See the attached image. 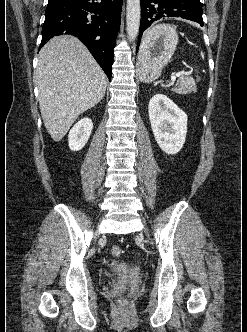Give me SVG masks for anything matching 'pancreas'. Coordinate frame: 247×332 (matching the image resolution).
Segmentation results:
<instances>
[{"label": "pancreas", "mask_w": 247, "mask_h": 332, "mask_svg": "<svg viewBox=\"0 0 247 332\" xmlns=\"http://www.w3.org/2000/svg\"><path fill=\"white\" fill-rule=\"evenodd\" d=\"M178 86L180 87V90H183L185 92H190L195 88L194 80L190 76H183L178 82Z\"/></svg>", "instance_id": "cf45deb5"}]
</instances>
